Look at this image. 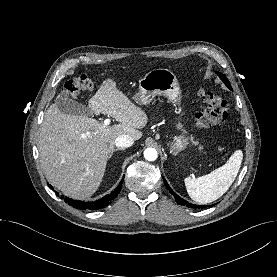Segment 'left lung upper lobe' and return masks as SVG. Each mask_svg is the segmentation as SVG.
<instances>
[{"mask_svg":"<svg viewBox=\"0 0 277 277\" xmlns=\"http://www.w3.org/2000/svg\"><path fill=\"white\" fill-rule=\"evenodd\" d=\"M218 76L220 77V79L225 83V85L232 90V87L230 85V82L228 81V79L226 78V76L220 72H217Z\"/></svg>","mask_w":277,"mask_h":277,"instance_id":"1","label":"left lung upper lobe"}]
</instances>
